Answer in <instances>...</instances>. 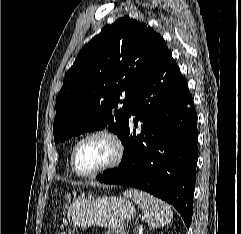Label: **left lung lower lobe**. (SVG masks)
Instances as JSON below:
<instances>
[{
	"instance_id": "obj_1",
	"label": "left lung lower lobe",
	"mask_w": 241,
	"mask_h": 234,
	"mask_svg": "<svg viewBox=\"0 0 241 234\" xmlns=\"http://www.w3.org/2000/svg\"><path fill=\"white\" fill-rule=\"evenodd\" d=\"M193 105L187 82L166 47L130 103L120 165L97 176L102 183L135 187L172 204L187 227L198 159Z\"/></svg>"
}]
</instances>
